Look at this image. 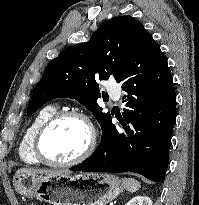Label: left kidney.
Wrapping results in <instances>:
<instances>
[{
  "mask_svg": "<svg viewBox=\"0 0 199 205\" xmlns=\"http://www.w3.org/2000/svg\"><path fill=\"white\" fill-rule=\"evenodd\" d=\"M125 205H153L152 201L147 196H135L129 200Z\"/></svg>",
  "mask_w": 199,
  "mask_h": 205,
  "instance_id": "5707ae66",
  "label": "left kidney"
}]
</instances>
